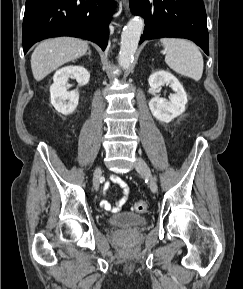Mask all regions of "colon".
<instances>
[{
	"label": "colon",
	"instance_id": "5ec220e1",
	"mask_svg": "<svg viewBox=\"0 0 243 289\" xmlns=\"http://www.w3.org/2000/svg\"><path fill=\"white\" fill-rule=\"evenodd\" d=\"M148 209V204L146 201H137L135 204H134V210L138 213H144L146 212Z\"/></svg>",
	"mask_w": 243,
	"mask_h": 289
}]
</instances>
